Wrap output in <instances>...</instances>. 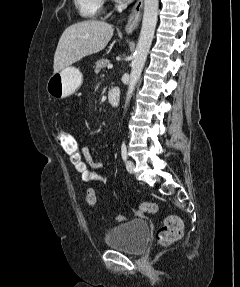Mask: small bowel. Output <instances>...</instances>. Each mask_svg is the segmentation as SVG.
Segmentation results:
<instances>
[{
    "label": "small bowel",
    "mask_w": 240,
    "mask_h": 287,
    "mask_svg": "<svg viewBox=\"0 0 240 287\" xmlns=\"http://www.w3.org/2000/svg\"><path fill=\"white\" fill-rule=\"evenodd\" d=\"M81 150H82L83 156L85 157L86 161L92 167L93 170L100 169L103 167L102 162L98 161L88 148L81 147ZM95 179H96V182H101V183L106 182V178H104L103 176H101L100 174L96 172H95Z\"/></svg>",
    "instance_id": "c3829d8e"
}]
</instances>
